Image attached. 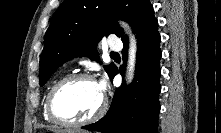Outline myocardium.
<instances>
[{
  "instance_id": "myocardium-1",
  "label": "myocardium",
  "mask_w": 221,
  "mask_h": 133,
  "mask_svg": "<svg viewBox=\"0 0 221 133\" xmlns=\"http://www.w3.org/2000/svg\"><path fill=\"white\" fill-rule=\"evenodd\" d=\"M79 80H88V81H92V82L96 83L95 78L90 74L75 73V74L68 75V76L60 79L59 81H57L52 86L50 91L48 92L47 97H46V111H47V114L52 122H54L58 125H61V126H65V127H80V126L90 124L94 121H97L98 119H100L104 115V113L107 109V99L103 95L101 103H100L99 107L97 108V110L92 115H90L89 117H87L85 119L71 121V120H63L57 116V114L55 113L54 108H53V100H54L56 93L65 85H67L71 82H74V81H79Z\"/></svg>"
}]
</instances>
